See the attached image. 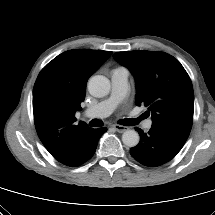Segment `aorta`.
Returning a JSON list of instances; mask_svg holds the SVG:
<instances>
[{"label": "aorta", "instance_id": "1", "mask_svg": "<svg viewBox=\"0 0 215 215\" xmlns=\"http://www.w3.org/2000/svg\"><path fill=\"white\" fill-rule=\"evenodd\" d=\"M110 81L102 75H95L88 81V91L94 97H104L110 92ZM140 140L139 134L135 130H126L122 134V142L128 147H135Z\"/></svg>", "mask_w": 215, "mask_h": 215}]
</instances>
